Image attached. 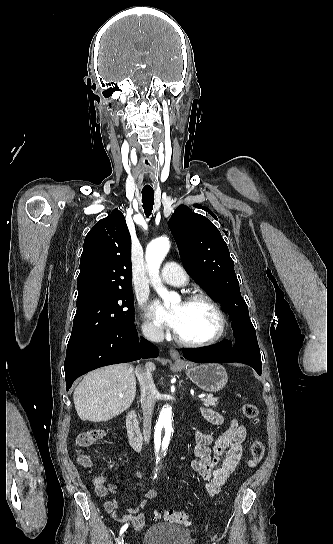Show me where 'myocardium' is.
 <instances>
[{
	"mask_svg": "<svg viewBox=\"0 0 333 544\" xmlns=\"http://www.w3.org/2000/svg\"><path fill=\"white\" fill-rule=\"evenodd\" d=\"M195 302H206L208 303L215 311L218 317L219 325L216 333L209 339L203 340V341H190L182 338L180 335L175 332L174 338L175 340L186 347L191 348H202V347H208L211 345L216 344L218 341L222 339V337L225 335L226 329H227V316L222 308L221 304L212 296L206 294V293H196L192 294L187 297L186 303H195Z\"/></svg>",
	"mask_w": 333,
	"mask_h": 544,
	"instance_id": "1",
	"label": "myocardium"
}]
</instances>
